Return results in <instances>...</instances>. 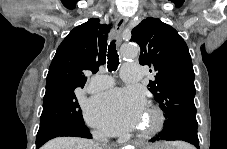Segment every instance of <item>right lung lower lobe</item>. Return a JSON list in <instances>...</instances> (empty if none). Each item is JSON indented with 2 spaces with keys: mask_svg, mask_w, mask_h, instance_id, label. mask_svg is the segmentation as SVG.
Masks as SVG:
<instances>
[{
  "mask_svg": "<svg viewBox=\"0 0 227 149\" xmlns=\"http://www.w3.org/2000/svg\"><path fill=\"white\" fill-rule=\"evenodd\" d=\"M59 136H73L82 138H92L88 128L84 123H69L64 125L41 126L36 137V148L38 149L48 140Z\"/></svg>",
  "mask_w": 227,
  "mask_h": 149,
  "instance_id": "98d812e1",
  "label": "right lung lower lobe"
}]
</instances>
